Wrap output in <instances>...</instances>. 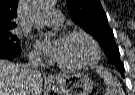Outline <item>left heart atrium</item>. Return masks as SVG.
Masks as SVG:
<instances>
[{"label": "left heart atrium", "mask_w": 135, "mask_h": 95, "mask_svg": "<svg viewBox=\"0 0 135 95\" xmlns=\"http://www.w3.org/2000/svg\"><path fill=\"white\" fill-rule=\"evenodd\" d=\"M37 47L48 57L53 60H59L62 51L63 39L59 38L56 40H46V39H38Z\"/></svg>", "instance_id": "obj_1"}]
</instances>
